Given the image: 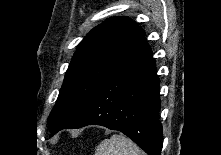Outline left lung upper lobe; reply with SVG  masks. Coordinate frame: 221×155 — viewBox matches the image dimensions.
Masks as SVG:
<instances>
[{
    "instance_id": "1",
    "label": "left lung upper lobe",
    "mask_w": 221,
    "mask_h": 155,
    "mask_svg": "<svg viewBox=\"0 0 221 155\" xmlns=\"http://www.w3.org/2000/svg\"><path fill=\"white\" fill-rule=\"evenodd\" d=\"M146 44L143 30L127 17L95 27L78 45L68 67L48 118L52 134L68 126L102 82Z\"/></svg>"
}]
</instances>
